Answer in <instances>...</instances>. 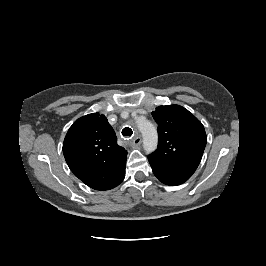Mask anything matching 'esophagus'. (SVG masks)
I'll return each instance as SVG.
<instances>
[{"label":"esophagus","instance_id":"esophagus-1","mask_svg":"<svg viewBox=\"0 0 266 266\" xmlns=\"http://www.w3.org/2000/svg\"><path fill=\"white\" fill-rule=\"evenodd\" d=\"M142 142V139L141 137L137 136L135 137L133 140H132V144L135 145V146H139Z\"/></svg>","mask_w":266,"mask_h":266}]
</instances>
